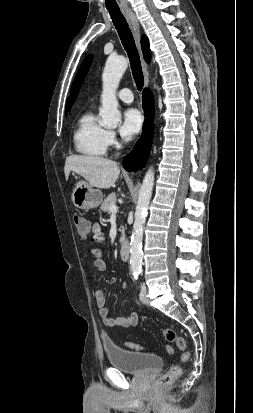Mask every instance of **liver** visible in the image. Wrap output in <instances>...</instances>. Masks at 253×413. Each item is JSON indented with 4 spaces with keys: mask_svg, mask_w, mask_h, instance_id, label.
<instances>
[{
    "mask_svg": "<svg viewBox=\"0 0 253 413\" xmlns=\"http://www.w3.org/2000/svg\"><path fill=\"white\" fill-rule=\"evenodd\" d=\"M70 171L81 175L92 187L108 189L114 185L120 169L116 162L98 156L72 155L66 158L64 172L68 180Z\"/></svg>",
    "mask_w": 253,
    "mask_h": 413,
    "instance_id": "liver-1",
    "label": "liver"
}]
</instances>
